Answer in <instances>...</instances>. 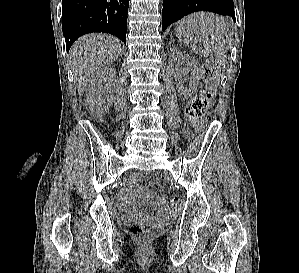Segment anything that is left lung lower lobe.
Wrapping results in <instances>:
<instances>
[{
  "instance_id": "obj_1",
  "label": "left lung lower lobe",
  "mask_w": 299,
  "mask_h": 273,
  "mask_svg": "<svg viewBox=\"0 0 299 273\" xmlns=\"http://www.w3.org/2000/svg\"><path fill=\"white\" fill-rule=\"evenodd\" d=\"M197 11H209L235 19L233 0H164L162 30L170 24Z\"/></svg>"
}]
</instances>
